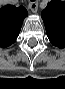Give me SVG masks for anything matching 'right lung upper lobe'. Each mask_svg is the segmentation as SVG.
Masks as SVG:
<instances>
[{
    "instance_id": "obj_1",
    "label": "right lung upper lobe",
    "mask_w": 65,
    "mask_h": 89,
    "mask_svg": "<svg viewBox=\"0 0 65 89\" xmlns=\"http://www.w3.org/2000/svg\"><path fill=\"white\" fill-rule=\"evenodd\" d=\"M27 16L25 7L6 5L0 9V47L13 44L21 30L24 18Z\"/></svg>"
}]
</instances>
